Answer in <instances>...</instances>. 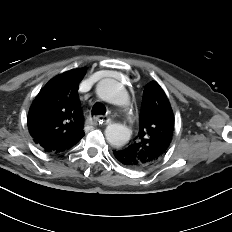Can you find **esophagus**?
<instances>
[{"label": "esophagus", "mask_w": 232, "mask_h": 232, "mask_svg": "<svg viewBox=\"0 0 232 232\" xmlns=\"http://www.w3.org/2000/svg\"><path fill=\"white\" fill-rule=\"evenodd\" d=\"M92 123L94 125H98V124L108 125L111 123V119L109 117H106V116H97V117H94Z\"/></svg>", "instance_id": "obj_1"}]
</instances>
